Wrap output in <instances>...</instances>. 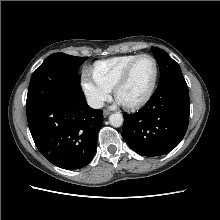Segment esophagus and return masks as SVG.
Here are the masks:
<instances>
[{
	"label": "esophagus",
	"mask_w": 220,
	"mask_h": 220,
	"mask_svg": "<svg viewBox=\"0 0 220 220\" xmlns=\"http://www.w3.org/2000/svg\"><path fill=\"white\" fill-rule=\"evenodd\" d=\"M110 113H111V112H110L109 110H104V112H103V114H104L105 117L108 116Z\"/></svg>",
	"instance_id": "34e87169"
}]
</instances>
